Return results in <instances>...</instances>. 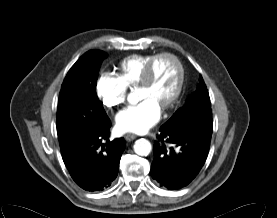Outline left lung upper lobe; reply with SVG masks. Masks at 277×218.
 <instances>
[{
	"instance_id": "5c2ea615",
	"label": "left lung upper lobe",
	"mask_w": 277,
	"mask_h": 218,
	"mask_svg": "<svg viewBox=\"0 0 277 218\" xmlns=\"http://www.w3.org/2000/svg\"><path fill=\"white\" fill-rule=\"evenodd\" d=\"M211 102L202 76L196 90L188 97L185 105L164 124L186 126L191 124L212 125Z\"/></svg>"
}]
</instances>
